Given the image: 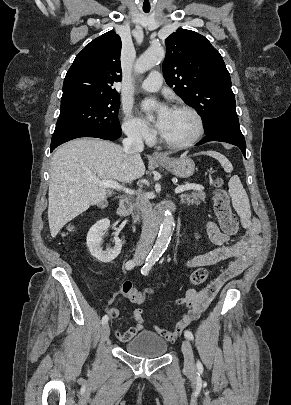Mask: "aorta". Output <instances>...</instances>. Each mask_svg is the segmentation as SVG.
Instances as JSON below:
<instances>
[{
	"label": "aorta",
	"mask_w": 291,
	"mask_h": 405,
	"mask_svg": "<svg viewBox=\"0 0 291 405\" xmlns=\"http://www.w3.org/2000/svg\"><path fill=\"white\" fill-rule=\"evenodd\" d=\"M165 49L160 46H152L148 48L136 61V73H144L165 58ZM174 227V218L170 211H165L163 222L160 226L157 240L149 254V260L155 261L162 256L171 240V235Z\"/></svg>",
	"instance_id": "aorta-1"
}]
</instances>
